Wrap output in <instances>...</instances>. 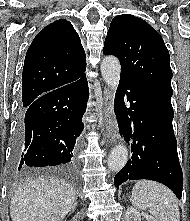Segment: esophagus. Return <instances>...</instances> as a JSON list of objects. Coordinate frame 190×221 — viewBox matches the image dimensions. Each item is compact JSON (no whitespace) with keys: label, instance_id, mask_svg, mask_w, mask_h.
I'll return each mask as SVG.
<instances>
[{"label":"esophagus","instance_id":"esophagus-1","mask_svg":"<svg viewBox=\"0 0 190 221\" xmlns=\"http://www.w3.org/2000/svg\"><path fill=\"white\" fill-rule=\"evenodd\" d=\"M103 100L104 134L109 143H115L118 138L117 123L113 118L114 108L112 91L107 87L104 89Z\"/></svg>","mask_w":190,"mask_h":221}]
</instances>
